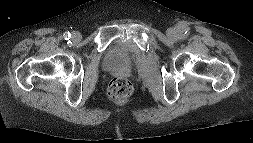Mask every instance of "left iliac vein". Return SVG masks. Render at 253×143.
Masks as SVG:
<instances>
[{"instance_id":"4c4485c4","label":"left iliac vein","mask_w":253,"mask_h":143,"mask_svg":"<svg viewBox=\"0 0 253 143\" xmlns=\"http://www.w3.org/2000/svg\"><path fill=\"white\" fill-rule=\"evenodd\" d=\"M166 35L169 39L171 40H176L178 38V33L175 29L173 28H169L167 31H166Z\"/></svg>"}]
</instances>
